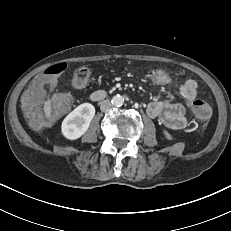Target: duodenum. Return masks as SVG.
<instances>
[{"label":"duodenum","mask_w":231,"mask_h":231,"mask_svg":"<svg viewBox=\"0 0 231 231\" xmlns=\"http://www.w3.org/2000/svg\"><path fill=\"white\" fill-rule=\"evenodd\" d=\"M105 97H106V92L103 90H98L91 94V99L93 101H100L103 100Z\"/></svg>","instance_id":"1"}]
</instances>
